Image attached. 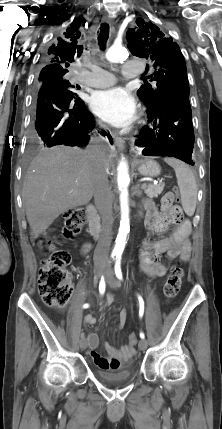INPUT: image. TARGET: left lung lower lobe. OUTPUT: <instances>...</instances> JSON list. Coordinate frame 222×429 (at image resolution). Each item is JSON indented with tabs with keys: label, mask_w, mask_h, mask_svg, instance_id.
Instances as JSON below:
<instances>
[{
	"label": "left lung lower lobe",
	"mask_w": 222,
	"mask_h": 429,
	"mask_svg": "<svg viewBox=\"0 0 222 429\" xmlns=\"http://www.w3.org/2000/svg\"><path fill=\"white\" fill-rule=\"evenodd\" d=\"M147 106V105H146ZM148 125L136 145L145 156H169L194 165V130L189 95L168 91L156 107L147 106Z\"/></svg>",
	"instance_id": "left-lung-lower-lobe-1"
}]
</instances>
